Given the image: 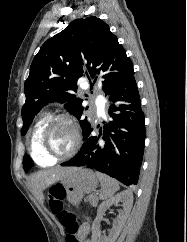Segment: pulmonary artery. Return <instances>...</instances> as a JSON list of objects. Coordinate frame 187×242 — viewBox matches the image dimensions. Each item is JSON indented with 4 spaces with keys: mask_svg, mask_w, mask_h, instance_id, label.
<instances>
[{
    "mask_svg": "<svg viewBox=\"0 0 187 242\" xmlns=\"http://www.w3.org/2000/svg\"><path fill=\"white\" fill-rule=\"evenodd\" d=\"M98 110L100 111V112H103V106L102 105H98Z\"/></svg>",
    "mask_w": 187,
    "mask_h": 242,
    "instance_id": "pulmonary-artery-1",
    "label": "pulmonary artery"
}]
</instances>
